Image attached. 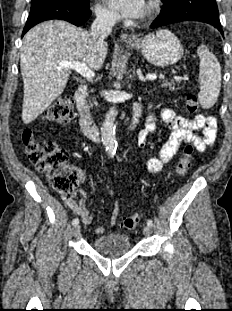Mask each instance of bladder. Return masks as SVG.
Instances as JSON below:
<instances>
[{"mask_svg": "<svg viewBox=\"0 0 232 311\" xmlns=\"http://www.w3.org/2000/svg\"><path fill=\"white\" fill-rule=\"evenodd\" d=\"M93 249L105 254H121L131 249V243L127 234L109 233L95 238Z\"/></svg>", "mask_w": 232, "mask_h": 311, "instance_id": "31cf9c89", "label": "bladder"}]
</instances>
